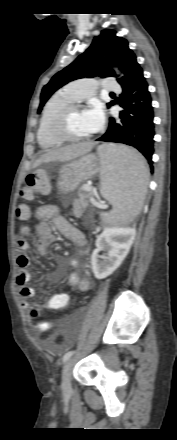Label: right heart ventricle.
<instances>
[{"mask_svg":"<svg viewBox=\"0 0 177 440\" xmlns=\"http://www.w3.org/2000/svg\"><path fill=\"white\" fill-rule=\"evenodd\" d=\"M75 102L76 100L69 94L66 88L55 93L46 102L37 127V140L41 148L50 149L61 144L50 134L49 125L61 108Z\"/></svg>","mask_w":177,"mask_h":440,"instance_id":"1","label":"right heart ventricle"}]
</instances>
